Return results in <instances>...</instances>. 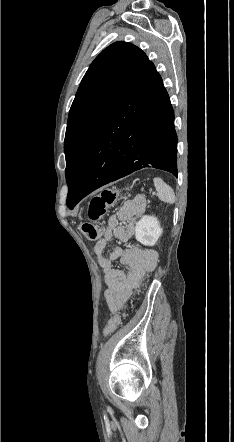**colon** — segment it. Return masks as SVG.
I'll return each instance as SVG.
<instances>
[{
  "instance_id": "colon-1",
  "label": "colon",
  "mask_w": 234,
  "mask_h": 442,
  "mask_svg": "<svg viewBox=\"0 0 234 442\" xmlns=\"http://www.w3.org/2000/svg\"><path fill=\"white\" fill-rule=\"evenodd\" d=\"M117 196L118 192L116 190L106 189L91 199L88 208V215L92 222H86L81 226V231L87 239L96 241L101 237L102 228L97 223L103 219L108 206L112 205L116 201ZM121 323V314L112 317L104 329V335L109 336L112 334Z\"/></svg>"
}]
</instances>
